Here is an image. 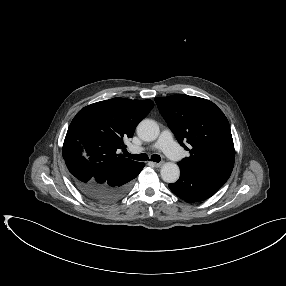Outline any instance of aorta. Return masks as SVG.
Returning <instances> with one entry per match:
<instances>
[{
	"instance_id": "aorta-1",
	"label": "aorta",
	"mask_w": 286,
	"mask_h": 286,
	"mask_svg": "<svg viewBox=\"0 0 286 286\" xmlns=\"http://www.w3.org/2000/svg\"><path fill=\"white\" fill-rule=\"evenodd\" d=\"M158 124L151 119L142 120L137 126V134L144 141H154L159 135ZM161 178L167 183H175L180 176V169L173 162H166L160 170Z\"/></svg>"
}]
</instances>
